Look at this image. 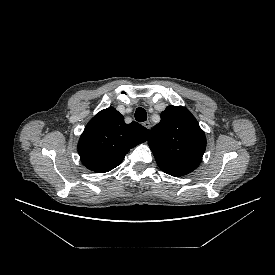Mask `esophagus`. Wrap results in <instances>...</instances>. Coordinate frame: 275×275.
<instances>
[{
    "mask_svg": "<svg viewBox=\"0 0 275 275\" xmlns=\"http://www.w3.org/2000/svg\"><path fill=\"white\" fill-rule=\"evenodd\" d=\"M142 125H143L145 128H147V129H150V128H151V125H150V122H149V121L143 122Z\"/></svg>",
    "mask_w": 275,
    "mask_h": 275,
    "instance_id": "34e87169",
    "label": "esophagus"
}]
</instances>
